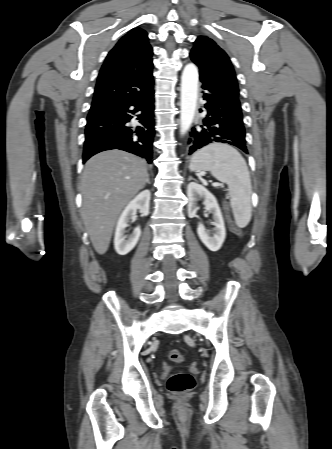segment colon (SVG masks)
<instances>
[{
  "instance_id": "obj_1",
  "label": "colon",
  "mask_w": 332,
  "mask_h": 449,
  "mask_svg": "<svg viewBox=\"0 0 332 449\" xmlns=\"http://www.w3.org/2000/svg\"><path fill=\"white\" fill-rule=\"evenodd\" d=\"M225 216L230 221V211L227 204L224 205ZM232 229L241 235V231L233 226ZM169 359L175 363H181L184 359L183 354L178 349H171L169 351ZM195 380L194 377L188 372H177L170 376L167 382L168 390L173 394H184L191 391L194 388Z\"/></svg>"
}]
</instances>
